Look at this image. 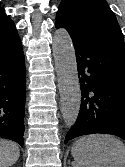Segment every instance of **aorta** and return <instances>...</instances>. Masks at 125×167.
<instances>
[{
    "label": "aorta",
    "instance_id": "aorta-1",
    "mask_svg": "<svg viewBox=\"0 0 125 167\" xmlns=\"http://www.w3.org/2000/svg\"><path fill=\"white\" fill-rule=\"evenodd\" d=\"M52 50L58 77L61 112L66 125L71 127L79 114L81 91L75 50L72 39L65 29L55 31Z\"/></svg>",
    "mask_w": 125,
    "mask_h": 167
}]
</instances>
